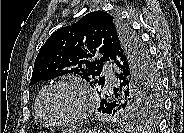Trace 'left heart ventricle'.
Here are the masks:
<instances>
[{
    "mask_svg": "<svg viewBox=\"0 0 184 133\" xmlns=\"http://www.w3.org/2000/svg\"><path fill=\"white\" fill-rule=\"evenodd\" d=\"M46 107L52 118L67 119L79 111L81 99L74 89L58 87L49 94Z\"/></svg>",
    "mask_w": 184,
    "mask_h": 133,
    "instance_id": "obj_1",
    "label": "left heart ventricle"
}]
</instances>
